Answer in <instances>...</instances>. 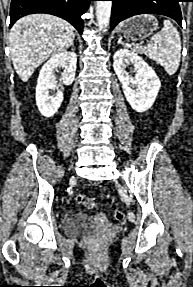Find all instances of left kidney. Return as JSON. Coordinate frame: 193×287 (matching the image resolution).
I'll list each match as a JSON object with an SVG mask.
<instances>
[{"instance_id": "obj_1", "label": "left kidney", "mask_w": 193, "mask_h": 287, "mask_svg": "<svg viewBox=\"0 0 193 287\" xmlns=\"http://www.w3.org/2000/svg\"><path fill=\"white\" fill-rule=\"evenodd\" d=\"M130 65L135 68V77L126 71ZM113 67L130 106L140 113L150 109L161 87V82L152 67L137 53L128 49H119L114 54Z\"/></svg>"}]
</instances>
